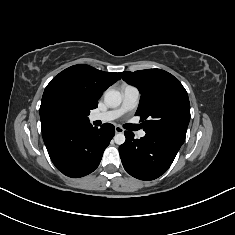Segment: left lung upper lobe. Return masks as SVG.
Listing matches in <instances>:
<instances>
[{
	"label": "left lung upper lobe",
	"instance_id": "1",
	"mask_svg": "<svg viewBox=\"0 0 235 235\" xmlns=\"http://www.w3.org/2000/svg\"><path fill=\"white\" fill-rule=\"evenodd\" d=\"M119 74L141 93L135 115L141 117L143 130L148 134L165 136L183 144L190 121V103L179 80L161 69Z\"/></svg>",
	"mask_w": 235,
	"mask_h": 235
}]
</instances>
